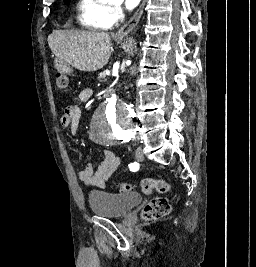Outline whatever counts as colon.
<instances>
[{
  "label": "colon",
  "mask_w": 256,
  "mask_h": 267,
  "mask_svg": "<svg viewBox=\"0 0 256 267\" xmlns=\"http://www.w3.org/2000/svg\"><path fill=\"white\" fill-rule=\"evenodd\" d=\"M65 68V67H64ZM69 75L60 74V71H56L55 83L60 91H66L69 87ZM142 192L144 194H152L155 191L169 192L168 185L159 179L146 178L141 182ZM117 189L120 192H131L134 186L129 182H121L117 185ZM170 203L167 199L157 197L148 202L143 209V216L146 219L154 220L166 216L170 212Z\"/></svg>",
  "instance_id": "obj_1"
}]
</instances>
